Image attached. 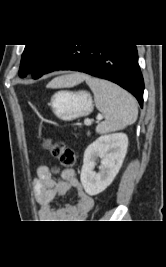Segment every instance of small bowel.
Listing matches in <instances>:
<instances>
[{
    "instance_id": "obj_1",
    "label": "small bowel",
    "mask_w": 166,
    "mask_h": 267,
    "mask_svg": "<svg viewBox=\"0 0 166 267\" xmlns=\"http://www.w3.org/2000/svg\"><path fill=\"white\" fill-rule=\"evenodd\" d=\"M56 173H58L57 167L46 164L38 166L36 177L33 180V189L39 204V217L46 222L85 219L94 207L93 198L83 190L74 170H63L59 181L53 177ZM71 189L76 190V204L54 208L52 206L54 199L57 196H64Z\"/></svg>"
}]
</instances>
